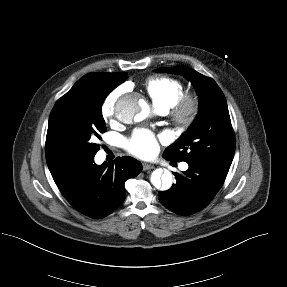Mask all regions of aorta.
<instances>
[{
	"mask_svg": "<svg viewBox=\"0 0 287 287\" xmlns=\"http://www.w3.org/2000/svg\"><path fill=\"white\" fill-rule=\"evenodd\" d=\"M149 111L148 104L138 94L121 97L115 108L117 119L127 124L144 120ZM150 181L156 189L168 190L173 184V175L169 170L159 168L152 172Z\"/></svg>",
	"mask_w": 287,
	"mask_h": 287,
	"instance_id": "762f6f07",
	"label": "aorta"
}]
</instances>
